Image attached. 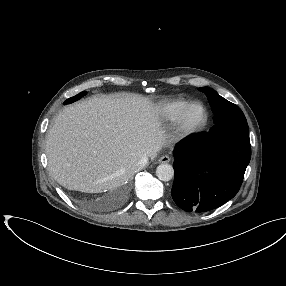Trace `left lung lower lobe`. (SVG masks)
Instances as JSON below:
<instances>
[{
	"instance_id": "0a47b994",
	"label": "left lung lower lobe",
	"mask_w": 286,
	"mask_h": 286,
	"mask_svg": "<svg viewBox=\"0 0 286 286\" xmlns=\"http://www.w3.org/2000/svg\"><path fill=\"white\" fill-rule=\"evenodd\" d=\"M171 195L185 211L207 212L232 199L240 189L251 158L247 122L226 121L215 124L209 132L179 144ZM203 166L211 171L198 173Z\"/></svg>"
}]
</instances>
